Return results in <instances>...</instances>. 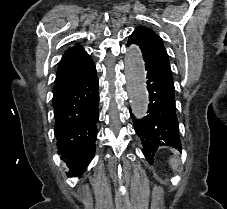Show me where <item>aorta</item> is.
<instances>
[{"instance_id": "aorta-1", "label": "aorta", "mask_w": 227, "mask_h": 209, "mask_svg": "<svg viewBox=\"0 0 227 209\" xmlns=\"http://www.w3.org/2000/svg\"><path fill=\"white\" fill-rule=\"evenodd\" d=\"M125 75L132 113L138 118L144 117L148 108V93L144 60L139 47L136 45H131L127 49Z\"/></svg>"}]
</instances>
